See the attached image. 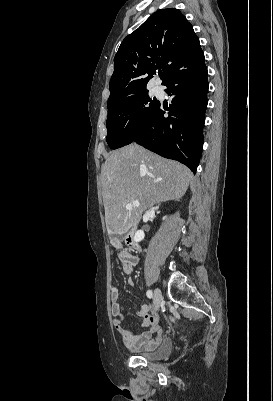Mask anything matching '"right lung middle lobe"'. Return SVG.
<instances>
[{
	"label": "right lung middle lobe",
	"instance_id": "obj_1",
	"mask_svg": "<svg viewBox=\"0 0 273 401\" xmlns=\"http://www.w3.org/2000/svg\"><path fill=\"white\" fill-rule=\"evenodd\" d=\"M158 105L159 101L150 98L146 90L108 106L106 141L109 146L117 149L130 144Z\"/></svg>",
	"mask_w": 273,
	"mask_h": 401
}]
</instances>
